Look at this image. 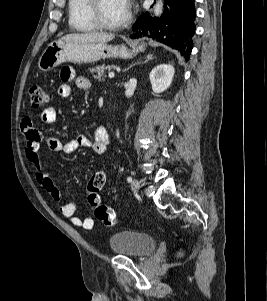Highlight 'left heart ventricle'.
I'll use <instances>...</instances> for the list:
<instances>
[{"label":"left heart ventricle","mask_w":267,"mask_h":301,"mask_svg":"<svg viewBox=\"0 0 267 301\" xmlns=\"http://www.w3.org/2000/svg\"><path fill=\"white\" fill-rule=\"evenodd\" d=\"M100 13L107 23H117L126 16L127 3L125 0H102Z\"/></svg>","instance_id":"1"}]
</instances>
